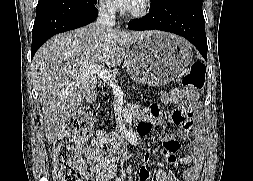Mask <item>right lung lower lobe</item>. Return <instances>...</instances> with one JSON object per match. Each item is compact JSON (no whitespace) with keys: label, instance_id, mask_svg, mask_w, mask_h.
<instances>
[{"label":"right lung lower lobe","instance_id":"obj_1","mask_svg":"<svg viewBox=\"0 0 253 181\" xmlns=\"http://www.w3.org/2000/svg\"><path fill=\"white\" fill-rule=\"evenodd\" d=\"M97 0H54L37 6L31 57L50 37L85 26L98 16Z\"/></svg>","mask_w":253,"mask_h":181}]
</instances>
